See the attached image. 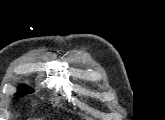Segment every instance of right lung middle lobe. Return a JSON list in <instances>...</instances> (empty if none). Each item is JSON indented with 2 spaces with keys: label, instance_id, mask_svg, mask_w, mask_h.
<instances>
[{
  "label": "right lung middle lobe",
  "instance_id": "dd1d6c3e",
  "mask_svg": "<svg viewBox=\"0 0 165 120\" xmlns=\"http://www.w3.org/2000/svg\"><path fill=\"white\" fill-rule=\"evenodd\" d=\"M29 93H33V90L25 85H20L18 87V93L16 94L17 97H23Z\"/></svg>",
  "mask_w": 165,
  "mask_h": 120
}]
</instances>
